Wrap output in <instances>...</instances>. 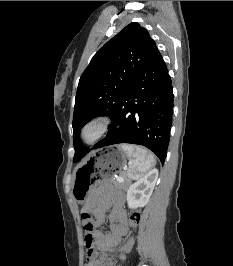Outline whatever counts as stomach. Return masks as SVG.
<instances>
[{
  "label": "stomach",
  "mask_w": 233,
  "mask_h": 266,
  "mask_svg": "<svg viewBox=\"0 0 233 266\" xmlns=\"http://www.w3.org/2000/svg\"><path fill=\"white\" fill-rule=\"evenodd\" d=\"M96 152H89L87 161H82L75 172L72 182L74 198L83 203L93 185H102V180H113L118 172H123L127 154L120 147H96Z\"/></svg>",
  "instance_id": "0dacf381"
}]
</instances>
